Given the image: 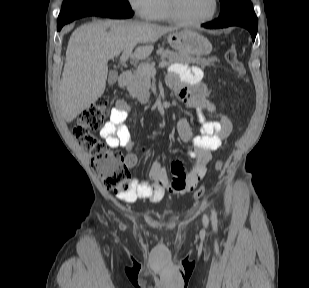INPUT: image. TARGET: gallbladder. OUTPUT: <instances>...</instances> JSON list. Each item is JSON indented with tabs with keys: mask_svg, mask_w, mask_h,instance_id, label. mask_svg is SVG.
Wrapping results in <instances>:
<instances>
[{
	"mask_svg": "<svg viewBox=\"0 0 309 288\" xmlns=\"http://www.w3.org/2000/svg\"><path fill=\"white\" fill-rule=\"evenodd\" d=\"M118 79V73L116 71H111L109 74L108 83L113 85Z\"/></svg>",
	"mask_w": 309,
	"mask_h": 288,
	"instance_id": "bac80fb5",
	"label": "gallbladder"
}]
</instances>
